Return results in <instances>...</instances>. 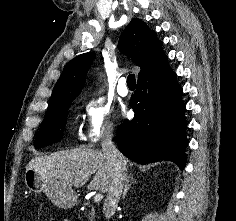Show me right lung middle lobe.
Returning <instances> with one entry per match:
<instances>
[{
  "label": "right lung middle lobe",
  "mask_w": 236,
  "mask_h": 221,
  "mask_svg": "<svg viewBox=\"0 0 236 221\" xmlns=\"http://www.w3.org/2000/svg\"><path fill=\"white\" fill-rule=\"evenodd\" d=\"M72 101L73 100L65 102L57 108L47 112L34 142L36 148H41L60 141L65 128L68 109L71 106Z\"/></svg>",
  "instance_id": "dd1d6c3e"
}]
</instances>
